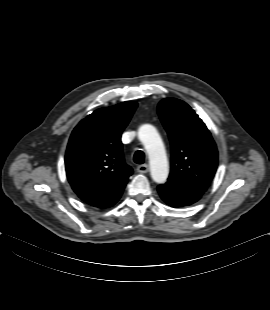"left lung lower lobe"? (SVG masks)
<instances>
[{
	"mask_svg": "<svg viewBox=\"0 0 270 310\" xmlns=\"http://www.w3.org/2000/svg\"><path fill=\"white\" fill-rule=\"evenodd\" d=\"M157 189L161 198L172 207L189 206L197 202L206 191L205 189L181 186L170 181L158 186Z\"/></svg>",
	"mask_w": 270,
	"mask_h": 310,
	"instance_id": "0a47b994",
	"label": "left lung lower lobe"
}]
</instances>
